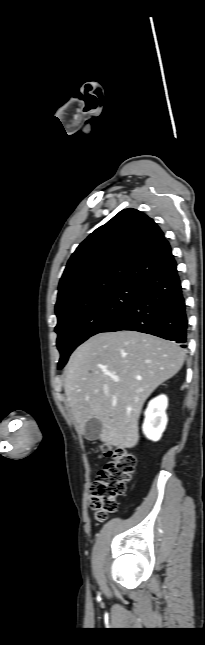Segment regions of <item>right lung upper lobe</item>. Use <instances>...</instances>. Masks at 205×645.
I'll return each instance as SVG.
<instances>
[{"label":"right lung upper lobe","instance_id":"cb5924a9","mask_svg":"<svg viewBox=\"0 0 205 645\" xmlns=\"http://www.w3.org/2000/svg\"><path fill=\"white\" fill-rule=\"evenodd\" d=\"M175 263L159 226L136 209L120 211L91 233L70 257L58 287L55 312L123 284H140Z\"/></svg>","mask_w":205,"mask_h":645}]
</instances>
